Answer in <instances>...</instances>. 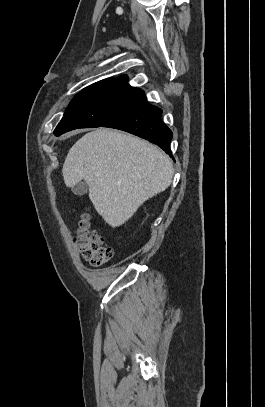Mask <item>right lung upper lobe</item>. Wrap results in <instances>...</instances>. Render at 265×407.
Wrapping results in <instances>:
<instances>
[{
    "label": "right lung upper lobe",
    "instance_id": "obj_1",
    "mask_svg": "<svg viewBox=\"0 0 265 407\" xmlns=\"http://www.w3.org/2000/svg\"><path fill=\"white\" fill-rule=\"evenodd\" d=\"M119 79L126 81V80H127V76H120Z\"/></svg>",
    "mask_w": 265,
    "mask_h": 407
}]
</instances>
